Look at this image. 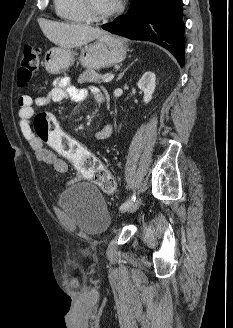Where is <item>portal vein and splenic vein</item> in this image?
Masks as SVG:
<instances>
[{
  "label": "portal vein and splenic vein",
  "instance_id": "obj_1",
  "mask_svg": "<svg viewBox=\"0 0 233 328\" xmlns=\"http://www.w3.org/2000/svg\"><path fill=\"white\" fill-rule=\"evenodd\" d=\"M113 78H114V74L108 75V76H106L105 78L102 79V82L108 83V82L112 81Z\"/></svg>",
  "mask_w": 233,
  "mask_h": 328
}]
</instances>
